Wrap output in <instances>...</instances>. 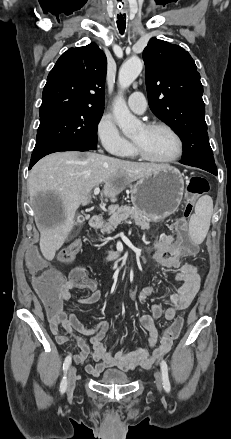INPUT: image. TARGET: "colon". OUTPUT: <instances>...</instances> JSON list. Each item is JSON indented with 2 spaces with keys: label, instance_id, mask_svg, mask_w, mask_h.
<instances>
[{
  "label": "colon",
  "instance_id": "5ec220e1",
  "mask_svg": "<svg viewBox=\"0 0 231 439\" xmlns=\"http://www.w3.org/2000/svg\"><path fill=\"white\" fill-rule=\"evenodd\" d=\"M209 189L207 180L202 177H191L188 185V192L190 199L185 203L183 208V218L179 219L176 223V230L178 233L179 244L182 250H178L176 261L186 263L189 257H194L197 252V248L193 243L189 234L186 219L190 216L193 210V200L202 194L206 193ZM80 250V245L74 242L64 248L60 253V260L64 263L72 262ZM28 258L25 260V267L30 268L34 274L33 284L34 290L37 292L39 298H41V304L45 307V315L50 320H57L59 313L56 311L60 308L59 301V287H60V274L50 270L49 259H41L37 255L39 254V247L36 245L31 246L27 251ZM70 278L83 289L93 290L96 288L94 281L89 279L84 269L78 267L75 268ZM183 326V319L177 318L172 325L167 328L163 333V338L169 341H173L179 336V333Z\"/></svg>",
  "mask_w": 231,
  "mask_h": 439
}]
</instances>
